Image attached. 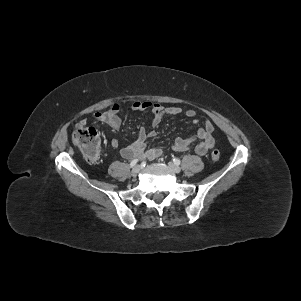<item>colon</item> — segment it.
I'll return each instance as SVG.
<instances>
[{"label":"colon","instance_id":"obj_1","mask_svg":"<svg viewBox=\"0 0 301 301\" xmlns=\"http://www.w3.org/2000/svg\"><path fill=\"white\" fill-rule=\"evenodd\" d=\"M73 143L80 149L87 161L96 162L99 159L100 132L96 127H78L73 134ZM211 157L213 161H218L219 150L214 149Z\"/></svg>","mask_w":301,"mask_h":301}]
</instances>
